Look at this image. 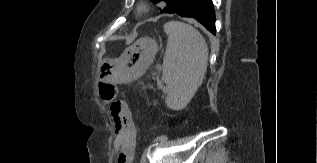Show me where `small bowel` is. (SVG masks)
I'll list each match as a JSON object with an SVG mask.
<instances>
[{"label":"small bowel","mask_w":317,"mask_h":163,"mask_svg":"<svg viewBox=\"0 0 317 163\" xmlns=\"http://www.w3.org/2000/svg\"><path fill=\"white\" fill-rule=\"evenodd\" d=\"M119 113H112V122L116 134V144L120 147L118 153V163H130L136 145V130L132 122L130 113L124 103Z\"/></svg>","instance_id":"1"}]
</instances>
